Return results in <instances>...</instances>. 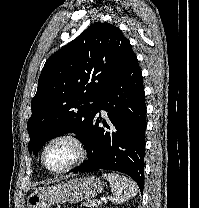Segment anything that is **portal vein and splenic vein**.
<instances>
[{"label":"portal vein and splenic vein","mask_w":199,"mask_h":208,"mask_svg":"<svg viewBox=\"0 0 199 208\" xmlns=\"http://www.w3.org/2000/svg\"><path fill=\"white\" fill-rule=\"evenodd\" d=\"M97 204H98V205H101V204H102V201H97Z\"/></svg>","instance_id":"portal-vein-and-splenic-vein-1"}]
</instances>
